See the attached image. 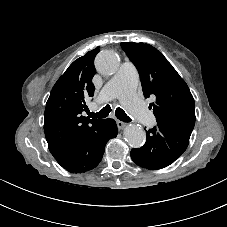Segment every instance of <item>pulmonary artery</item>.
I'll list each match as a JSON object with an SVG mask.
<instances>
[{"label":"pulmonary artery","mask_w":227,"mask_h":227,"mask_svg":"<svg viewBox=\"0 0 227 227\" xmlns=\"http://www.w3.org/2000/svg\"><path fill=\"white\" fill-rule=\"evenodd\" d=\"M138 83V72L133 64L124 62L117 73L104 85L98 93L95 102L96 107L113 98H119L123 105L136 117L138 122L145 126L154 123L153 114L137 98L135 89Z\"/></svg>","instance_id":"pulmonary-artery-1"}]
</instances>
